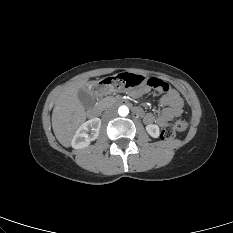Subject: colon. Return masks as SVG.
I'll use <instances>...</instances> for the list:
<instances>
[{
	"label": "colon",
	"mask_w": 233,
	"mask_h": 233,
	"mask_svg": "<svg viewBox=\"0 0 233 233\" xmlns=\"http://www.w3.org/2000/svg\"><path fill=\"white\" fill-rule=\"evenodd\" d=\"M147 86L159 91H166L169 88L167 83L158 78L148 79ZM187 127L188 121L185 118H179L163 129L161 137L166 140L172 139L175 137L176 133L184 132Z\"/></svg>",
	"instance_id": "1"
}]
</instances>
